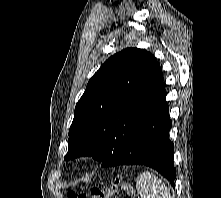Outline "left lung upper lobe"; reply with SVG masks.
Returning a JSON list of instances; mask_svg holds the SVG:
<instances>
[{"instance_id":"obj_1","label":"left lung upper lobe","mask_w":221,"mask_h":198,"mask_svg":"<svg viewBox=\"0 0 221 198\" xmlns=\"http://www.w3.org/2000/svg\"><path fill=\"white\" fill-rule=\"evenodd\" d=\"M165 94L160 65L150 52L127 48L111 56L76 104L64 159L87 155L103 162L120 149Z\"/></svg>"}]
</instances>
